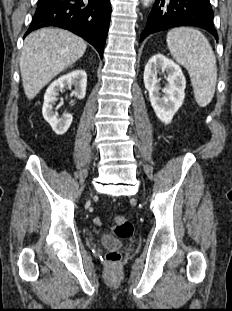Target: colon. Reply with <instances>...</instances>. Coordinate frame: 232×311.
<instances>
[{
	"instance_id": "1",
	"label": "colon",
	"mask_w": 232,
	"mask_h": 311,
	"mask_svg": "<svg viewBox=\"0 0 232 311\" xmlns=\"http://www.w3.org/2000/svg\"><path fill=\"white\" fill-rule=\"evenodd\" d=\"M114 234L120 238H128L133 234V224L125 216H116L112 222ZM106 260L110 266H116L121 261L119 251L111 250L106 254Z\"/></svg>"
}]
</instances>
